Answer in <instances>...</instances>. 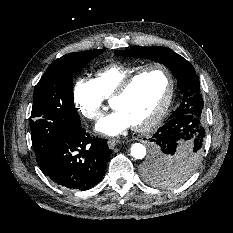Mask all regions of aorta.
Returning a JSON list of instances; mask_svg holds the SVG:
<instances>
[{
  "label": "aorta",
  "mask_w": 233,
  "mask_h": 233,
  "mask_svg": "<svg viewBox=\"0 0 233 233\" xmlns=\"http://www.w3.org/2000/svg\"><path fill=\"white\" fill-rule=\"evenodd\" d=\"M130 152L135 159H143L146 156V148L140 143L132 144Z\"/></svg>",
  "instance_id": "1"
}]
</instances>
